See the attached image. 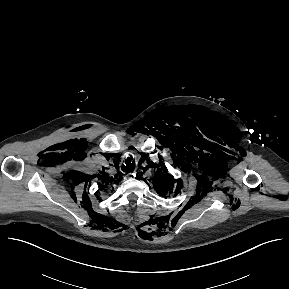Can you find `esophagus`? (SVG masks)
<instances>
[{
  "label": "esophagus",
  "instance_id": "34e87169",
  "mask_svg": "<svg viewBox=\"0 0 289 289\" xmlns=\"http://www.w3.org/2000/svg\"><path fill=\"white\" fill-rule=\"evenodd\" d=\"M133 173L128 174V178H133Z\"/></svg>",
  "mask_w": 289,
  "mask_h": 289
}]
</instances>
